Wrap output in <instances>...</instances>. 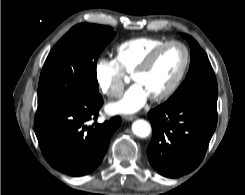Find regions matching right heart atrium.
<instances>
[{
	"label": "right heart atrium",
	"mask_w": 245,
	"mask_h": 195,
	"mask_svg": "<svg viewBox=\"0 0 245 195\" xmlns=\"http://www.w3.org/2000/svg\"><path fill=\"white\" fill-rule=\"evenodd\" d=\"M94 75L98 88L104 95L109 98L121 96L125 85L124 72L115 58H99L94 66Z\"/></svg>",
	"instance_id": "1"
}]
</instances>
